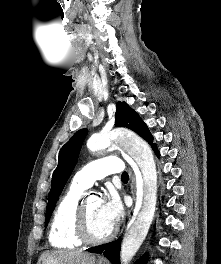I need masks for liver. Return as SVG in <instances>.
I'll return each mask as SVG.
<instances>
[{
    "instance_id": "obj_1",
    "label": "liver",
    "mask_w": 221,
    "mask_h": 264,
    "mask_svg": "<svg viewBox=\"0 0 221 264\" xmlns=\"http://www.w3.org/2000/svg\"><path fill=\"white\" fill-rule=\"evenodd\" d=\"M37 264H95V256L79 251H45Z\"/></svg>"
}]
</instances>
